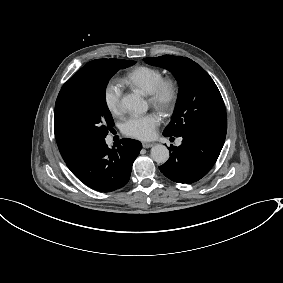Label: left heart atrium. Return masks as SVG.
<instances>
[{
  "instance_id": "39dd6f15",
  "label": "left heart atrium",
  "mask_w": 283,
  "mask_h": 283,
  "mask_svg": "<svg viewBox=\"0 0 283 283\" xmlns=\"http://www.w3.org/2000/svg\"><path fill=\"white\" fill-rule=\"evenodd\" d=\"M161 115L158 112H148L143 115L130 114L122 124V131L128 136L149 139L155 136Z\"/></svg>"
}]
</instances>
